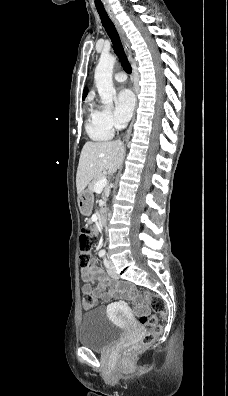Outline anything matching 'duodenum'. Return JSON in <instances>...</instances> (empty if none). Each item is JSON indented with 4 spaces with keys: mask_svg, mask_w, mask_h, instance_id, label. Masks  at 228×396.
<instances>
[{
    "mask_svg": "<svg viewBox=\"0 0 228 396\" xmlns=\"http://www.w3.org/2000/svg\"><path fill=\"white\" fill-rule=\"evenodd\" d=\"M98 220H99L100 224L106 225V209H105V207H102L100 209Z\"/></svg>",
    "mask_w": 228,
    "mask_h": 396,
    "instance_id": "1",
    "label": "duodenum"
}]
</instances>
